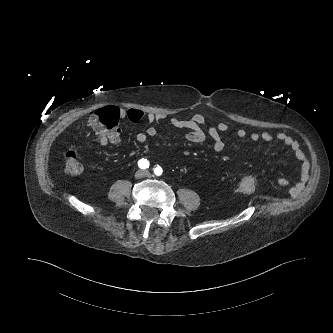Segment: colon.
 <instances>
[{"mask_svg":"<svg viewBox=\"0 0 333 333\" xmlns=\"http://www.w3.org/2000/svg\"><path fill=\"white\" fill-rule=\"evenodd\" d=\"M120 118L119 109L114 106L103 107L96 110L87 120V126L96 137L112 134L118 128ZM65 171L69 174L77 175L83 170L79 154L76 149H69L65 153ZM256 176L245 175L239 182V189L245 194H252L255 191Z\"/></svg>","mask_w":333,"mask_h":333,"instance_id":"obj_1","label":"colon"}]
</instances>
